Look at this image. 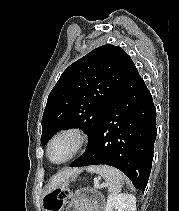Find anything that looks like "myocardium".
Listing matches in <instances>:
<instances>
[{
	"mask_svg": "<svg viewBox=\"0 0 179 211\" xmlns=\"http://www.w3.org/2000/svg\"><path fill=\"white\" fill-rule=\"evenodd\" d=\"M64 137L72 138L74 145L70 154L62 161L55 162L50 157V150L52 145L59 139ZM88 142V135L86 131L79 126H67L57 131L48 141L46 146V157L53 165H63L76 157Z\"/></svg>",
	"mask_w": 179,
	"mask_h": 211,
	"instance_id": "f54148a6",
	"label": "myocardium"
}]
</instances>
